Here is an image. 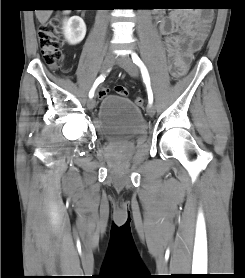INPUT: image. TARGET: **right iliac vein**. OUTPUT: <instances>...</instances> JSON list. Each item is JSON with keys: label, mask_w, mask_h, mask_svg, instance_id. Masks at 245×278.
<instances>
[{"label": "right iliac vein", "mask_w": 245, "mask_h": 278, "mask_svg": "<svg viewBox=\"0 0 245 278\" xmlns=\"http://www.w3.org/2000/svg\"><path fill=\"white\" fill-rule=\"evenodd\" d=\"M115 61V57H114V54L113 53H108L106 56H105V59L103 61V64H102V67H101V73H105L114 63ZM95 99L94 98H91L88 100V103H87V106L90 110L94 109L95 108Z\"/></svg>", "instance_id": "1"}]
</instances>
